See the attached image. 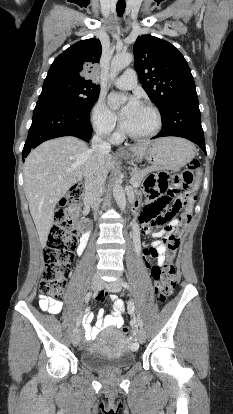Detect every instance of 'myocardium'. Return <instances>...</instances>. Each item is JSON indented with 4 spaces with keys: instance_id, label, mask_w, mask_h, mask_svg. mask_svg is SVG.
<instances>
[{
    "instance_id": "1",
    "label": "myocardium",
    "mask_w": 233,
    "mask_h": 414,
    "mask_svg": "<svg viewBox=\"0 0 233 414\" xmlns=\"http://www.w3.org/2000/svg\"><path fill=\"white\" fill-rule=\"evenodd\" d=\"M141 107L146 108V109L152 111L154 113L155 117H156L157 123H156L155 129L152 132L147 133V134H143V135H137V134H134V133L130 132L124 126V124L122 122L121 123V131H122V133L125 136H127L128 138H130L132 140H136V141H144V140H148V139H151V138L155 137L157 134H159V132L161 131L162 126H163L162 114H161L160 110L156 106H154L152 104H149V103H145Z\"/></svg>"
}]
</instances>
